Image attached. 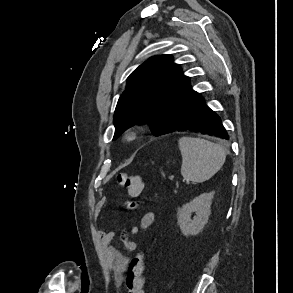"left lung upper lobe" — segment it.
I'll list each match as a JSON object with an SVG mask.
<instances>
[{
    "instance_id": "1",
    "label": "left lung upper lobe",
    "mask_w": 293,
    "mask_h": 293,
    "mask_svg": "<svg viewBox=\"0 0 293 293\" xmlns=\"http://www.w3.org/2000/svg\"><path fill=\"white\" fill-rule=\"evenodd\" d=\"M170 55L149 58L127 79L115 114L114 138L133 125L148 123L153 135L173 131L185 108L200 98Z\"/></svg>"
}]
</instances>
